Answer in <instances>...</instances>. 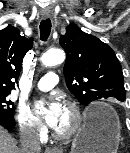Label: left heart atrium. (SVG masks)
Wrapping results in <instances>:
<instances>
[{
  "instance_id": "1",
  "label": "left heart atrium",
  "mask_w": 130,
  "mask_h": 153,
  "mask_svg": "<svg viewBox=\"0 0 130 153\" xmlns=\"http://www.w3.org/2000/svg\"><path fill=\"white\" fill-rule=\"evenodd\" d=\"M61 110L62 104L56 99H51L45 115V121L49 126L53 127L57 123Z\"/></svg>"
}]
</instances>
